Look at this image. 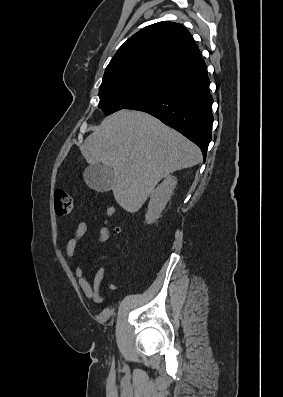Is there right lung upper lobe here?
I'll list each match as a JSON object with an SVG mask.
<instances>
[{"instance_id": "obj_1", "label": "right lung upper lobe", "mask_w": 283, "mask_h": 397, "mask_svg": "<svg viewBox=\"0 0 283 397\" xmlns=\"http://www.w3.org/2000/svg\"><path fill=\"white\" fill-rule=\"evenodd\" d=\"M204 67L199 48L186 27L163 21L129 38L111 59L103 78L142 73L171 81Z\"/></svg>"}]
</instances>
